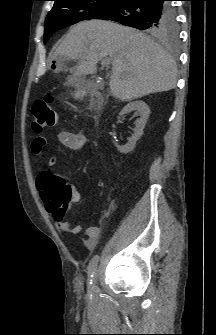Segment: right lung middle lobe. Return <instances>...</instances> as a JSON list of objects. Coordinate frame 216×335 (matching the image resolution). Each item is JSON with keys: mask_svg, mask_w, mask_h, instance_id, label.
<instances>
[{"mask_svg": "<svg viewBox=\"0 0 216 335\" xmlns=\"http://www.w3.org/2000/svg\"><path fill=\"white\" fill-rule=\"evenodd\" d=\"M54 7L48 13L45 20L44 43L53 33L64 27L73 25L82 20L95 19L99 14L107 10L117 0H54ZM174 13H171V15ZM178 27L167 25L154 36L175 39ZM152 34V33H151Z\"/></svg>", "mask_w": 216, "mask_h": 335, "instance_id": "obj_1", "label": "right lung middle lobe"}]
</instances>
